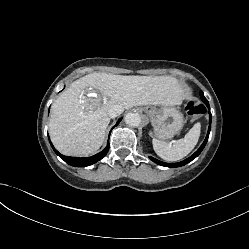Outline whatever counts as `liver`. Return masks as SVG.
<instances>
[{"mask_svg": "<svg viewBox=\"0 0 249 249\" xmlns=\"http://www.w3.org/2000/svg\"><path fill=\"white\" fill-rule=\"evenodd\" d=\"M92 91L100 96H86ZM183 99L181 85L169 76L91 73L71 83L52 104L50 137L63 155H92L103 144L112 106H173Z\"/></svg>", "mask_w": 249, "mask_h": 249, "instance_id": "obj_1", "label": "liver"}]
</instances>
